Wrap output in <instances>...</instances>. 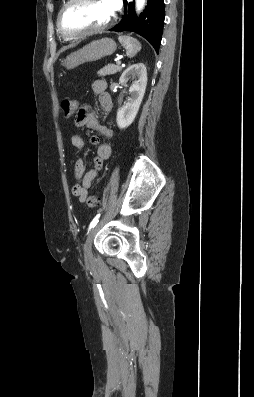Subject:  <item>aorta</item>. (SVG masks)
<instances>
[{
    "instance_id": "aorta-1",
    "label": "aorta",
    "mask_w": 254,
    "mask_h": 397,
    "mask_svg": "<svg viewBox=\"0 0 254 397\" xmlns=\"http://www.w3.org/2000/svg\"><path fill=\"white\" fill-rule=\"evenodd\" d=\"M146 0H136V9L137 11H140L143 9L145 5Z\"/></svg>"
}]
</instances>
